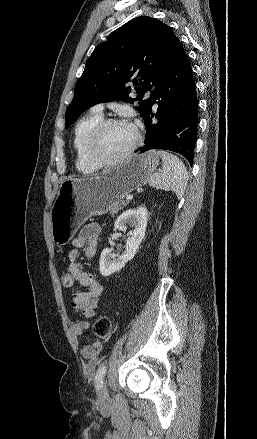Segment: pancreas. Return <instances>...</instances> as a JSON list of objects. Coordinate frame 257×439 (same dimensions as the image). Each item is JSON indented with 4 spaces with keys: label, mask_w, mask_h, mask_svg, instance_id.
Wrapping results in <instances>:
<instances>
[{
    "label": "pancreas",
    "mask_w": 257,
    "mask_h": 439,
    "mask_svg": "<svg viewBox=\"0 0 257 439\" xmlns=\"http://www.w3.org/2000/svg\"><path fill=\"white\" fill-rule=\"evenodd\" d=\"M126 202L125 201H119L114 203L110 209H109V213L113 216L114 214L118 213L124 206H126Z\"/></svg>",
    "instance_id": "cf45deb5"
}]
</instances>
